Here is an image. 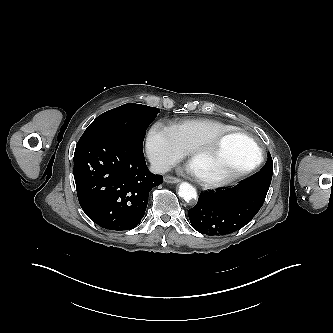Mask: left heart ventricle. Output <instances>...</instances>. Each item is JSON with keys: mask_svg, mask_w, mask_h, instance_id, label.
Returning a JSON list of instances; mask_svg holds the SVG:
<instances>
[{"mask_svg": "<svg viewBox=\"0 0 333 333\" xmlns=\"http://www.w3.org/2000/svg\"><path fill=\"white\" fill-rule=\"evenodd\" d=\"M256 157V148L243 135L224 138L210 153L191 161L196 174L205 177H221L249 165Z\"/></svg>", "mask_w": 333, "mask_h": 333, "instance_id": "left-heart-ventricle-1", "label": "left heart ventricle"}]
</instances>
